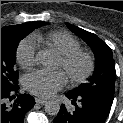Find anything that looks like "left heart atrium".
<instances>
[{"label": "left heart atrium", "instance_id": "left-heart-atrium-1", "mask_svg": "<svg viewBox=\"0 0 123 123\" xmlns=\"http://www.w3.org/2000/svg\"><path fill=\"white\" fill-rule=\"evenodd\" d=\"M67 82L66 74L61 70H36L25 78L26 89L39 97L47 98L63 88Z\"/></svg>", "mask_w": 123, "mask_h": 123}]
</instances>
